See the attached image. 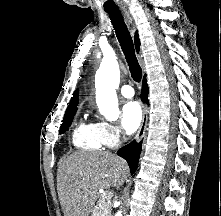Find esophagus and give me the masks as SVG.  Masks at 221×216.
I'll return each mask as SVG.
<instances>
[{"mask_svg": "<svg viewBox=\"0 0 221 216\" xmlns=\"http://www.w3.org/2000/svg\"><path fill=\"white\" fill-rule=\"evenodd\" d=\"M122 14H123L125 20L129 24H132V17L130 15V13L127 10H123ZM142 112H143L142 122H141L139 131H138L137 136H136V142L137 143L141 142V140L143 139V137L145 135L146 126H147L148 109H147V105L145 103H143V105H142Z\"/></svg>", "mask_w": 221, "mask_h": 216, "instance_id": "1", "label": "esophagus"}]
</instances>
